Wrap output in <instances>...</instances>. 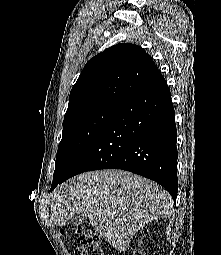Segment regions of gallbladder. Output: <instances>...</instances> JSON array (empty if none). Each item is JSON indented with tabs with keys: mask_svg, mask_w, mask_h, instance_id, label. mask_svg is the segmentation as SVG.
Listing matches in <instances>:
<instances>
[{
	"mask_svg": "<svg viewBox=\"0 0 221 255\" xmlns=\"http://www.w3.org/2000/svg\"><path fill=\"white\" fill-rule=\"evenodd\" d=\"M86 220H87L86 216L77 214L73 217L72 223H73V226L78 227L79 225L83 224Z\"/></svg>",
	"mask_w": 221,
	"mask_h": 255,
	"instance_id": "bac80fb5",
	"label": "gallbladder"
}]
</instances>
